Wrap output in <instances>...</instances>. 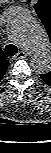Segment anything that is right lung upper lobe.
<instances>
[{
	"label": "right lung upper lobe",
	"instance_id": "right-lung-upper-lobe-1",
	"mask_svg": "<svg viewBox=\"0 0 51 153\" xmlns=\"http://www.w3.org/2000/svg\"><path fill=\"white\" fill-rule=\"evenodd\" d=\"M8 66H9V61L6 59L4 53L2 52L0 48V79L5 74Z\"/></svg>",
	"mask_w": 51,
	"mask_h": 153
}]
</instances>
